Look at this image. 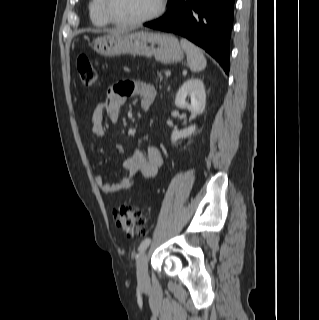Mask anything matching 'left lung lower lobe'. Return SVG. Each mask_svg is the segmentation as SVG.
I'll list each match as a JSON object with an SVG mask.
<instances>
[{
  "label": "left lung lower lobe",
  "mask_w": 319,
  "mask_h": 320,
  "mask_svg": "<svg viewBox=\"0 0 319 320\" xmlns=\"http://www.w3.org/2000/svg\"><path fill=\"white\" fill-rule=\"evenodd\" d=\"M235 0H169L168 11L146 27L179 34L205 49L229 73Z\"/></svg>",
  "instance_id": "obj_1"
}]
</instances>
